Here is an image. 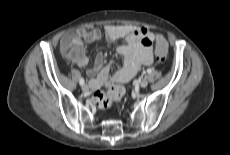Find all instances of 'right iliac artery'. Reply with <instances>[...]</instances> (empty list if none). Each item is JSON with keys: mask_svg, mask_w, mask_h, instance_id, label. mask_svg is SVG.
Returning <instances> with one entry per match:
<instances>
[{"mask_svg": "<svg viewBox=\"0 0 230 155\" xmlns=\"http://www.w3.org/2000/svg\"><path fill=\"white\" fill-rule=\"evenodd\" d=\"M80 85H83L84 84V79L81 78L80 81H79Z\"/></svg>", "mask_w": 230, "mask_h": 155, "instance_id": "right-iliac-artery-1", "label": "right iliac artery"}]
</instances>
